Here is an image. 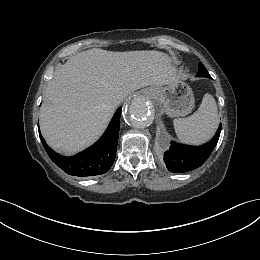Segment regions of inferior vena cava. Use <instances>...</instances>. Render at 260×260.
Returning a JSON list of instances; mask_svg holds the SVG:
<instances>
[{
	"mask_svg": "<svg viewBox=\"0 0 260 260\" xmlns=\"http://www.w3.org/2000/svg\"><path fill=\"white\" fill-rule=\"evenodd\" d=\"M122 100H123L122 98H118L115 103L119 104Z\"/></svg>",
	"mask_w": 260,
	"mask_h": 260,
	"instance_id": "inferior-vena-cava-1",
	"label": "inferior vena cava"
}]
</instances>
